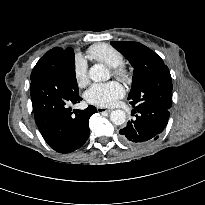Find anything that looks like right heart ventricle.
<instances>
[{"mask_svg":"<svg viewBox=\"0 0 205 205\" xmlns=\"http://www.w3.org/2000/svg\"><path fill=\"white\" fill-rule=\"evenodd\" d=\"M88 56L97 62L103 63L110 68L124 63V55L115 47L107 43H97L87 50Z\"/></svg>","mask_w":205,"mask_h":205,"instance_id":"obj_1","label":"right heart ventricle"}]
</instances>
